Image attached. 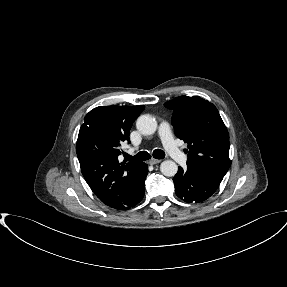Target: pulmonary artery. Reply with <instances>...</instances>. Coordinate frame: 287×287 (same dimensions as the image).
Masks as SVG:
<instances>
[{"label": "pulmonary artery", "mask_w": 287, "mask_h": 287, "mask_svg": "<svg viewBox=\"0 0 287 287\" xmlns=\"http://www.w3.org/2000/svg\"><path fill=\"white\" fill-rule=\"evenodd\" d=\"M159 134L162 139L163 146L167 154L177 163H185L187 156L176 145L173 135L171 133L170 126L167 122L163 121L159 126Z\"/></svg>", "instance_id": "1"}]
</instances>
